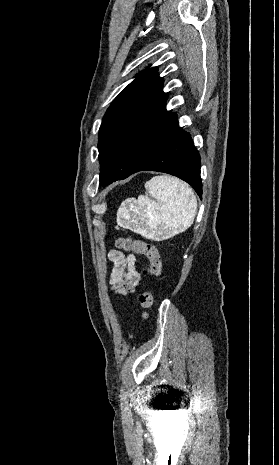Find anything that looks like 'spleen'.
Here are the masks:
<instances>
[{
	"label": "spleen",
	"instance_id": "3e777b00",
	"mask_svg": "<svg viewBox=\"0 0 279 465\" xmlns=\"http://www.w3.org/2000/svg\"><path fill=\"white\" fill-rule=\"evenodd\" d=\"M147 195L128 198L117 211V224L146 238L167 239L187 230L197 213L192 189L171 176L145 183Z\"/></svg>",
	"mask_w": 279,
	"mask_h": 465
}]
</instances>
